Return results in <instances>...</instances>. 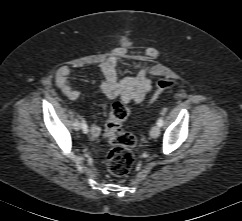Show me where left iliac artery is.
<instances>
[{
	"mask_svg": "<svg viewBox=\"0 0 242 221\" xmlns=\"http://www.w3.org/2000/svg\"><path fill=\"white\" fill-rule=\"evenodd\" d=\"M163 123H164L163 118H159L158 121H157V125L159 127H161V126H163Z\"/></svg>",
	"mask_w": 242,
	"mask_h": 221,
	"instance_id": "obj_1",
	"label": "left iliac artery"
}]
</instances>
